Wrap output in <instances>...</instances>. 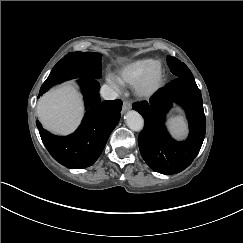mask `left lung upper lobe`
Instances as JSON below:
<instances>
[{"mask_svg": "<svg viewBox=\"0 0 243 243\" xmlns=\"http://www.w3.org/2000/svg\"><path fill=\"white\" fill-rule=\"evenodd\" d=\"M167 63L175 78L194 79L188 67L175 57L167 56Z\"/></svg>", "mask_w": 243, "mask_h": 243, "instance_id": "left-lung-upper-lobe-1", "label": "left lung upper lobe"}]
</instances>
